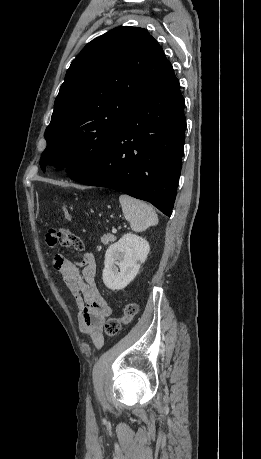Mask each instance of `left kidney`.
I'll use <instances>...</instances> for the list:
<instances>
[{
    "label": "left kidney",
    "instance_id": "5707ae66",
    "mask_svg": "<svg viewBox=\"0 0 261 459\" xmlns=\"http://www.w3.org/2000/svg\"><path fill=\"white\" fill-rule=\"evenodd\" d=\"M150 250L149 243L136 234L127 233L110 245L105 253L102 279L113 291L124 289L138 274Z\"/></svg>",
    "mask_w": 261,
    "mask_h": 459
}]
</instances>
